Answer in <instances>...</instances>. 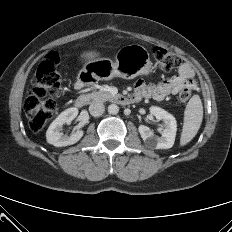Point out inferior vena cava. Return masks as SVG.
Wrapping results in <instances>:
<instances>
[{"mask_svg":"<svg viewBox=\"0 0 232 232\" xmlns=\"http://www.w3.org/2000/svg\"><path fill=\"white\" fill-rule=\"evenodd\" d=\"M104 111L105 106L102 102H94L89 106V112L94 117L102 115Z\"/></svg>","mask_w":232,"mask_h":232,"instance_id":"1","label":"inferior vena cava"}]
</instances>
